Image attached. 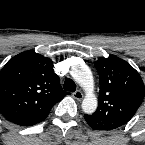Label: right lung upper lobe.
Listing matches in <instances>:
<instances>
[{
    "label": "right lung upper lobe",
    "instance_id": "1",
    "mask_svg": "<svg viewBox=\"0 0 145 145\" xmlns=\"http://www.w3.org/2000/svg\"><path fill=\"white\" fill-rule=\"evenodd\" d=\"M67 94L52 60L33 51L14 56L0 71V112L17 125L43 121Z\"/></svg>",
    "mask_w": 145,
    "mask_h": 145
}]
</instances>
